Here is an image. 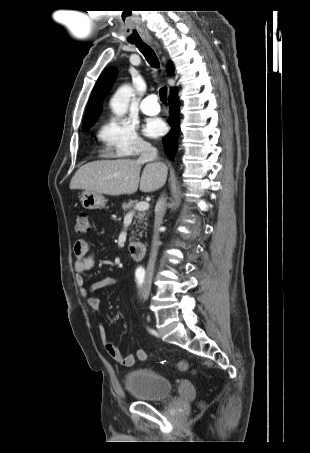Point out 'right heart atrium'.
<instances>
[{"instance_id":"right-heart-atrium-1","label":"right heart atrium","mask_w":310,"mask_h":453,"mask_svg":"<svg viewBox=\"0 0 310 453\" xmlns=\"http://www.w3.org/2000/svg\"><path fill=\"white\" fill-rule=\"evenodd\" d=\"M99 138L108 157H130L148 147L134 123L122 118L105 120L99 130Z\"/></svg>"}]
</instances>
